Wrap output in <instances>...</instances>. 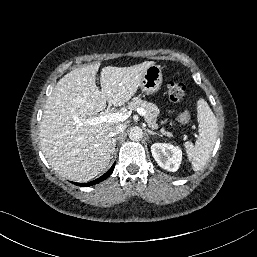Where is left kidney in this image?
<instances>
[{
	"mask_svg": "<svg viewBox=\"0 0 257 257\" xmlns=\"http://www.w3.org/2000/svg\"><path fill=\"white\" fill-rule=\"evenodd\" d=\"M151 153L158 165L170 172H176L182 161V150L168 143H155Z\"/></svg>",
	"mask_w": 257,
	"mask_h": 257,
	"instance_id": "obj_1",
	"label": "left kidney"
}]
</instances>
